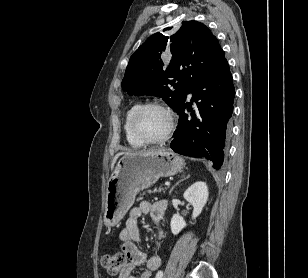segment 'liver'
Masks as SVG:
<instances>
[{
  "mask_svg": "<svg viewBox=\"0 0 308 278\" xmlns=\"http://www.w3.org/2000/svg\"><path fill=\"white\" fill-rule=\"evenodd\" d=\"M123 154H131V153H123V152H120L118 154H116V156L114 157L113 161H112V165H111V169L114 167V164L116 162V160L118 159L119 156L123 155Z\"/></svg>",
  "mask_w": 308,
  "mask_h": 278,
  "instance_id": "6515ba94",
  "label": "liver"
}]
</instances>
